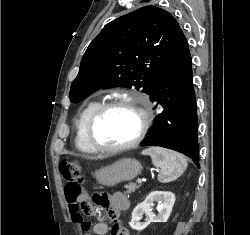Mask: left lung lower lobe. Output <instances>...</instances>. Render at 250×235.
Wrapping results in <instances>:
<instances>
[{"instance_id": "0a47b994", "label": "left lung lower lobe", "mask_w": 250, "mask_h": 235, "mask_svg": "<svg viewBox=\"0 0 250 235\" xmlns=\"http://www.w3.org/2000/svg\"><path fill=\"white\" fill-rule=\"evenodd\" d=\"M192 60L181 32L149 91L157 114L142 146H160L183 153L199 168L197 113ZM159 105V107H158Z\"/></svg>"}]
</instances>
